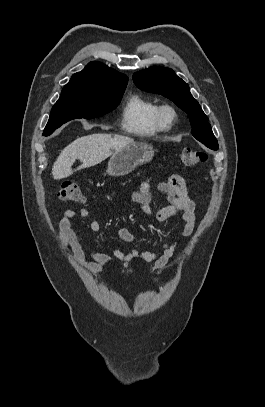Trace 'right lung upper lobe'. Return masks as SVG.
<instances>
[{"label":"right lung upper lobe","mask_w":265,"mask_h":407,"mask_svg":"<svg viewBox=\"0 0 265 407\" xmlns=\"http://www.w3.org/2000/svg\"><path fill=\"white\" fill-rule=\"evenodd\" d=\"M93 81L105 84L127 85L128 77L99 62H90L81 72L74 74L70 82Z\"/></svg>","instance_id":"cb5924a9"}]
</instances>
